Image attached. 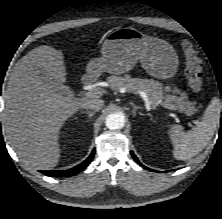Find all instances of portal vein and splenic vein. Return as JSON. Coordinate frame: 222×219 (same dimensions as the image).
<instances>
[{
  "instance_id": "portal-vein-and-splenic-vein-1",
  "label": "portal vein and splenic vein",
  "mask_w": 222,
  "mask_h": 219,
  "mask_svg": "<svg viewBox=\"0 0 222 219\" xmlns=\"http://www.w3.org/2000/svg\"><path fill=\"white\" fill-rule=\"evenodd\" d=\"M102 92L100 89L96 88V89H93V90H90L88 92L85 93V96L86 97H97L98 95H100ZM137 94H139L143 100L145 101L146 105L147 106H151V102L149 101L148 99V96L145 92L143 91H137L136 92ZM160 104L161 106H163L164 108H167V109H170V110H177V106L174 105V104H171L169 102H162V101H159L156 105ZM195 123H197L198 121L197 120H193Z\"/></svg>"
}]
</instances>
